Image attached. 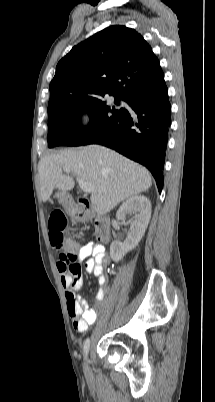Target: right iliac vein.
<instances>
[{"instance_id":"1","label":"right iliac vein","mask_w":215,"mask_h":402,"mask_svg":"<svg viewBox=\"0 0 215 402\" xmlns=\"http://www.w3.org/2000/svg\"><path fill=\"white\" fill-rule=\"evenodd\" d=\"M84 372L86 375L90 374V368H89V360H86L84 363Z\"/></svg>"}]
</instances>
